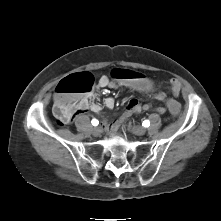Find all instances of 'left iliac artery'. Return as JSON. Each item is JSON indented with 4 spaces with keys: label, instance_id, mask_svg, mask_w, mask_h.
<instances>
[{
    "label": "left iliac artery",
    "instance_id": "44dca946",
    "mask_svg": "<svg viewBox=\"0 0 221 221\" xmlns=\"http://www.w3.org/2000/svg\"><path fill=\"white\" fill-rule=\"evenodd\" d=\"M142 125H143L144 127H149V125H150L149 120L143 121Z\"/></svg>",
    "mask_w": 221,
    "mask_h": 221
}]
</instances>
